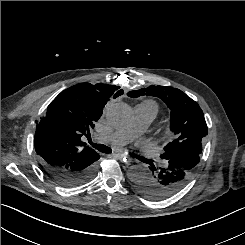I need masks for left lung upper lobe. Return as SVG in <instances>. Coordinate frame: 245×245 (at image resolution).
<instances>
[{"mask_svg":"<svg viewBox=\"0 0 245 245\" xmlns=\"http://www.w3.org/2000/svg\"><path fill=\"white\" fill-rule=\"evenodd\" d=\"M129 97L154 96L163 100L171 110L170 129L174 138L164 147L161 159L168 160L182 153L201 154L202 140L208 134L200 106L184 92L167 86H149L128 92Z\"/></svg>","mask_w":245,"mask_h":245,"instance_id":"obj_1","label":"left lung upper lobe"}]
</instances>
